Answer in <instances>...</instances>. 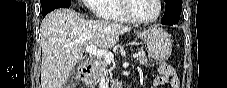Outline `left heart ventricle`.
<instances>
[{
    "instance_id": "left-heart-ventricle-1",
    "label": "left heart ventricle",
    "mask_w": 227,
    "mask_h": 88,
    "mask_svg": "<svg viewBox=\"0 0 227 88\" xmlns=\"http://www.w3.org/2000/svg\"><path fill=\"white\" fill-rule=\"evenodd\" d=\"M130 12L138 19H150L157 14L155 0H133L130 2Z\"/></svg>"
}]
</instances>
